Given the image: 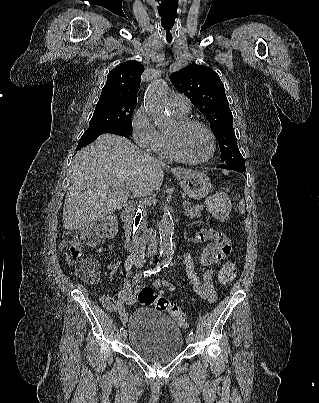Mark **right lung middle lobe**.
I'll list each match as a JSON object with an SVG mask.
<instances>
[{
    "label": "right lung middle lobe",
    "instance_id": "right-lung-middle-lobe-1",
    "mask_svg": "<svg viewBox=\"0 0 319 403\" xmlns=\"http://www.w3.org/2000/svg\"><path fill=\"white\" fill-rule=\"evenodd\" d=\"M135 107L123 103H97L89 127H119L132 134L131 117Z\"/></svg>",
    "mask_w": 319,
    "mask_h": 403
}]
</instances>
